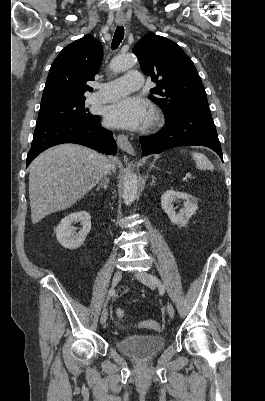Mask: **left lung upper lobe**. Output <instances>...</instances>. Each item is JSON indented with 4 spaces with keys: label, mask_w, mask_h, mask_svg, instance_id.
<instances>
[{
    "label": "left lung upper lobe",
    "mask_w": 265,
    "mask_h": 401,
    "mask_svg": "<svg viewBox=\"0 0 265 401\" xmlns=\"http://www.w3.org/2000/svg\"><path fill=\"white\" fill-rule=\"evenodd\" d=\"M144 74L156 83L149 98L165 117L186 110H209L206 92L192 60L173 41L154 33L145 35L132 49Z\"/></svg>",
    "instance_id": "left-lung-upper-lobe-1"
}]
</instances>
